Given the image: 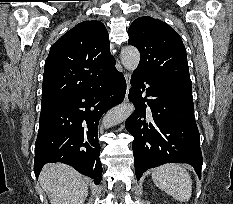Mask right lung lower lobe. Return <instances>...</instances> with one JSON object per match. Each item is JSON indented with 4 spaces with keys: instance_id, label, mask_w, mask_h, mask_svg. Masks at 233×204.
Returning <instances> with one entry per match:
<instances>
[{
    "instance_id": "right-lung-lower-lobe-1",
    "label": "right lung lower lobe",
    "mask_w": 233,
    "mask_h": 204,
    "mask_svg": "<svg viewBox=\"0 0 233 204\" xmlns=\"http://www.w3.org/2000/svg\"><path fill=\"white\" fill-rule=\"evenodd\" d=\"M126 92L122 73L113 67L97 84L81 90L40 115L35 143L34 172L50 162H62L101 182L98 123L108 109L120 104Z\"/></svg>"
}]
</instances>
